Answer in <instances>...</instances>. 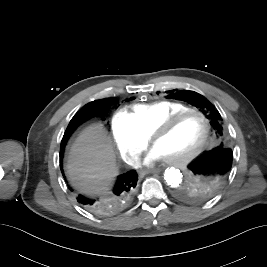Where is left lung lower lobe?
Wrapping results in <instances>:
<instances>
[{"label": "left lung lower lobe", "mask_w": 267, "mask_h": 267, "mask_svg": "<svg viewBox=\"0 0 267 267\" xmlns=\"http://www.w3.org/2000/svg\"><path fill=\"white\" fill-rule=\"evenodd\" d=\"M190 185L183 189L187 201L205 199L222 191L235 173V160L226 139H219L215 148L206 151L192 161Z\"/></svg>", "instance_id": "left-lung-lower-lobe-1"}]
</instances>
